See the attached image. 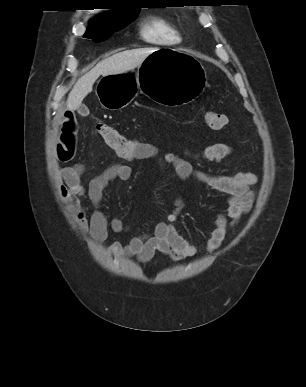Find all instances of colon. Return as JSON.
Masks as SVG:
<instances>
[{
  "label": "colon",
  "mask_w": 306,
  "mask_h": 387,
  "mask_svg": "<svg viewBox=\"0 0 306 387\" xmlns=\"http://www.w3.org/2000/svg\"><path fill=\"white\" fill-rule=\"evenodd\" d=\"M205 124L211 129H221L227 122V116L221 113L208 111L204 114ZM96 130L104 142L120 157L127 158L133 154L140 141L126 137L112 125L99 122Z\"/></svg>",
  "instance_id": "5ec220e1"
}]
</instances>
